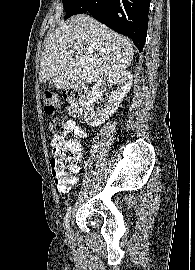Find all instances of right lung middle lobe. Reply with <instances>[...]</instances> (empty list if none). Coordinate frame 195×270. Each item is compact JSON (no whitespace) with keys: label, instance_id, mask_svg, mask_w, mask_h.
Listing matches in <instances>:
<instances>
[{"label":"right lung middle lobe","instance_id":"1","mask_svg":"<svg viewBox=\"0 0 195 270\" xmlns=\"http://www.w3.org/2000/svg\"><path fill=\"white\" fill-rule=\"evenodd\" d=\"M82 0H62L66 12L64 18L67 19L72 15L79 14V7Z\"/></svg>","mask_w":195,"mask_h":270}]
</instances>
